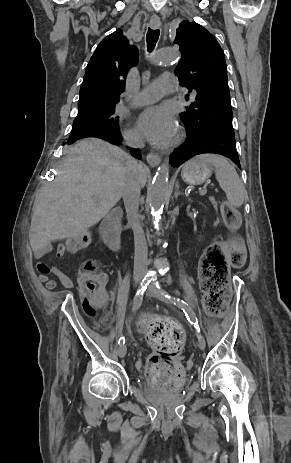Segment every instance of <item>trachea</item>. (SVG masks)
<instances>
[{"mask_svg":"<svg viewBox=\"0 0 291 463\" xmlns=\"http://www.w3.org/2000/svg\"><path fill=\"white\" fill-rule=\"evenodd\" d=\"M160 31L158 29H148L147 35H146V41H147V47L148 51L151 52L154 50L155 45L158 41Z\"/></svg>","mask_w":291,"mask_h":463,"instance_id":"1","label":"trachea"}]
</instances>
